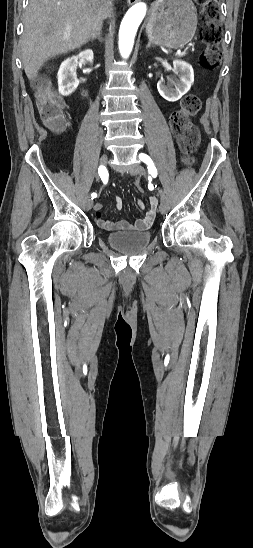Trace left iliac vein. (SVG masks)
Instances as JSON below:
<instances>
[{
  "label": "left iliac vein",
  "instance_id": "1",
  "mask_svg": "<svg viewBox=\"0 0 253 548\" xmlns=\"http://www.w3.org/2000/svg\"><path fill=\"white\" fill-rule=\"evenodd\" d=\"M131 173L133 174H136V175H144L145 173V169L143 168L142 165H140L139 163H137L132 169H131ZM158 193H159V196H160V211L162 214H164L167 210V200H166V196L163 192L162 189H158Z\"/></svg>",
  "mask_w": 253,
  "mask_h": 548
}]
</instances>
